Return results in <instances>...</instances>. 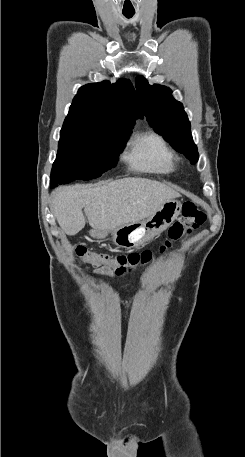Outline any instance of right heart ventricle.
I'll list each match as a JSON object with an SVG mask.
<instances>
[{
	"label": "right heart ventricle",
	"instance_id": "right-heart-ventricle-1",
	"mask_svg": "<svg viewBox=\"0 0 245 457\" xmlns=\"http://www.w3.org/2000/svg\"><path fill=\"white\" fill-rule=\"evenodd\" d=\"M131 159L133 163L153 172H170L174 155L165 139L153 130L139 128L131 136Z\"/></svg>",
	"mask_w": 245,
	"mask_h": 457
}]
</instances>
